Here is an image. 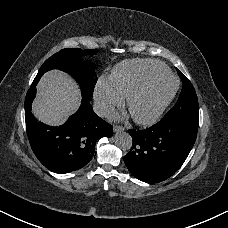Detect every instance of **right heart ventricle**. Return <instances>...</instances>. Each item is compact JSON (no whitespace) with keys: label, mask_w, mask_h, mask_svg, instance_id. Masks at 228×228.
Wrapping results in <instances>:
<instances>
[{"label":"right heart ventricle","mask_w":228,"mask_h":228,"mask_svg":"<svg viewBox=\"0 0 228 228\" xmlns=\"http://www.w3.org/2000/svg\"><path fill=\"white\" fill-rule=\"evenodd\" d=\"M169 73V69L162 63L135 60L117 65L113 70L110 81L122 97H128L147 79L168 75Z\"/></svg>","instance_id":"1"}]
</instances>
